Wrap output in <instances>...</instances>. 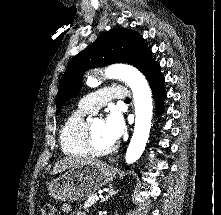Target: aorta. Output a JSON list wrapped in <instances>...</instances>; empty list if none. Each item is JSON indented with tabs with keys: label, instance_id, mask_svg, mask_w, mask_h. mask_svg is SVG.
Instances as JSON below:
<instances>
[{
	"label": "aorta",
	"instance_id": "1",
	"mask_svg": "<svg viewBox=\"0 0 221 215\" xmlns=\"http://www.w3.org/2000/svg\"><path fill=\"white\" fill-rule=\"evenodd\" d=\"M105 76L109 79L124 81L133 93L135 126L125 155L126 163L132 164L141 157L149 138L153 114L151 90L144 75L130 65H111L105 69ZM87 85L94 86L95 82L92 79H88Z\"/></svg>",
	"mask_w": 221,
	"mask_h": 215
}]
</instances>
